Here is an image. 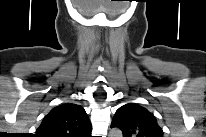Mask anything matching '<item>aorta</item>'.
Returning <instances> with one entry per match:
<instances>
[{
	"label": "aorta",
	"mask_w": 206,
	"mask_h": 137,
	"mask_svg": "<svg viewBox=\"0 0 206 137\" xmlns=\"http://www.w3.org/2000/svg\"><path fill=\"white\" fill-rule=\"evenodd\" d=\"M121 136H122V132L120 130L113 129L110 132V137H121Z\"/></svg>",
	"instance_id": "1"
}]
</instances>
